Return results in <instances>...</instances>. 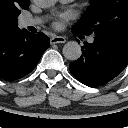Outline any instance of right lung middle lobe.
Here are the masks:
<instances>
[{"mask_svg": "<svg viewBox=\"0 0 128 128\" xmlns=\"http://www.w3.org/2000/svg\"><path fill=\"white\" fill-rule=\"evenodd\" d=\"M26 8H28V6L27 7H23L22 9H26ZM20 9H16L15 11H13V14H14V17L16 18V20H17V16L20 14Z\"/></svg>", "mask_w": 128, "mask_h": 128, "instance_id": "right-lung-middle-lobe-1", "label": "right lung middle lobe"}]
</instances>
